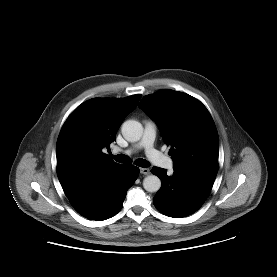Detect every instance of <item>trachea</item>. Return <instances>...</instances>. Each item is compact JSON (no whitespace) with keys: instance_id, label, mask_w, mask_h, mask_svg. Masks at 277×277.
Instances as JSON below:
<instances>
[{"instance_id":"3493384b","label":"trachea","mask_w":277,"mask_h":277,"mask_svg":"<svg viewBox=\"0 0 277 277\" xmlns=\"http://www.w3.org/2000/svg\"><path fill=\"white\" fill-rule=\"evenodd\" d=\"M110 157L119 163H129L130 162V158L124 154H118V155L111 154ZM135 164L139 167H148L149 166V163L145 159H142V158L137 159L135 161Z\"/></svg>"}]
</instances>
